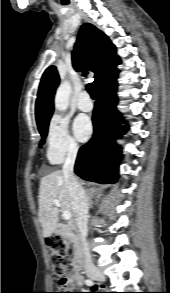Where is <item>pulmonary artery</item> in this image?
<instances>
[{
    "mask_svg": "<svg viewBox=\"0 0 170 293\" xmlns=\"http://www.w3.org/2000/svg\"><path fill=\"white\" fill-rule=\"evenodd\" d=\"M78 108L84 112H89L93 109V102L86 91H83L79 96Z\"/></svg>",
    "mask_w": 170,
    "mask_h": 293,
    "instance_id": "pulmonary-artery-1",
    "label": "pulmonary artery"
}]
</instances>
